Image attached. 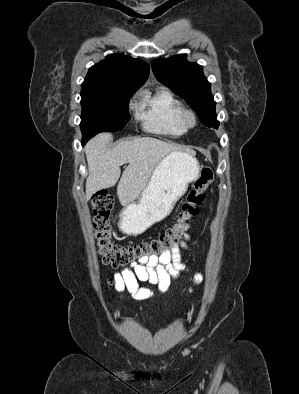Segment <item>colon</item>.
Wrapping results in <instances>:
<instances>
[{
  "mask_svg": "<svg viewBox=\"0 0 299 394\" xmlns=\"http://www.w3.org/2000/svg\"><path fill=\"white\" fill-rule=\"evenodd\" d=\"M211 168H203L195 179L183 202L175 222L155 237L128 245H115L111 240L109 219L114 207V198L105 191L96 193L91 205L94 214L93 228L96 247L103 263L112 267L128 266L150 257H161L173 249L184 236L186 226L198 215L205 192L213 182Z\"/></svg>",
  "mask_w": 299,
  "mask_h": 394,
  "instance_id": "5ec220e1",
  "label": "colon"
}]
</instances>
